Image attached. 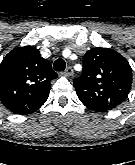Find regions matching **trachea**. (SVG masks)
<instances>
[{"mask_svg": "<svg viewBox=\"0 0 135 165\" xmlns=\"http://www.w3.org/2000/svg\"><path fill=\"white\" fill-rule=\"evenodd\" d=\"M65 67V61L62 58H58L54 63V69L56 71H64Z\"/></svg>", "mask_w": 135, "mask_h": 165, "instance_id": "obj_1", "label": "trachea"}]
</instances>
